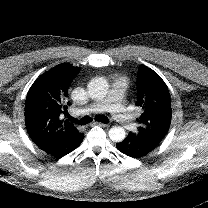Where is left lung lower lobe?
Masks as SVG:
<instances>
[{"mask_svg": "<svg viewBox=\"0 0 208 208\" xmlns=\"http://www.w3.org/2000/svg\"><path fill=\"white\" fill-rule=\"evenodd\" d=\"M116 147L130 157L139 158L152 151L157 145L127 136L122 142L117 143Z\"/></svg>", "mask_w": 208, "mask_h": 208, "instance_id": "obj_1", "label": "left lung lower lobe"}]
</instances>
